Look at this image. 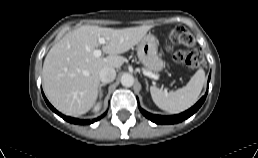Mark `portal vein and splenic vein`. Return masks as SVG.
I'll return each mask as SVG.
<instances>
[{
    "label": "portal vein and splenic vein",
    "instance_id": "1",
    "mask_svg": "<svg viewBox=\"0 0 258 158\" xmlns=\"http://www.w3.org/2000/svg\"><path fill=\"white\" fill-rule=\"evenodd\" d=\"M98 42L100 43V44H105L106 43V39L104 38V37H100L99 39H98ZM93 55L95 56V57H100L101 55H102V51L100 50V49H95L94 51H93ZM143 74L145 75V76H147V77H149V78H152V79H158V77L155 75V74H153V73H151V72H149V71H143Z\"/></svg>",
    "mask_w": 258,
    "mask_h": 158
}]
</instances>
